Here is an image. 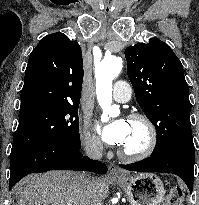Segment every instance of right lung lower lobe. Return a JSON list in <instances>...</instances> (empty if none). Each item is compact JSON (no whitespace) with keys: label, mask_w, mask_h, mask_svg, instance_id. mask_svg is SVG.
Segmentation results:
<instances>
[{"label":"right lung lower lobe","mask_w":199,"mask_h":205,"mask_svg":"<svg viewBox=\"0 0 199 205\" xmlns=\"http://www.w3.org/2000/svg\"><path fill=\"white\" fill-rule=\"evenodd\" d=\"M79 147H70L63 143L39 146L10 157L9 190L24 176L30 173L50 170L91 171L98 174L107 172V166L83 156Z\"/></svg>","instance_id":"obj_1"}]
</instances>
